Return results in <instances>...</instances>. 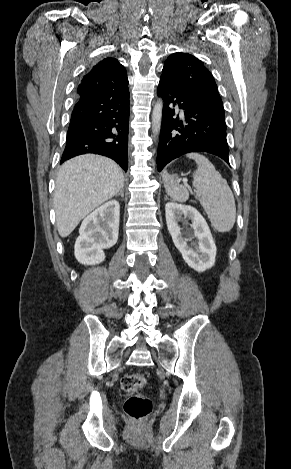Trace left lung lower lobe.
<instances>
[{"mask_svg":"<svg viewBox=\"0 0 291 469\" xmlns=\"http://www.w3.org/2000/svg\"><path fill=\"white\" fill-rule=\"evenodd\" d=\"M158 96L164 101L157 154L160 172L173 159L191 152H208L229 164L224 109L160 78ZM182 109L184 121L173 118ZM184 124V126H183Z\"/></svg>","mask_w":291,"mask_h":469,"instance_id":"left-lung-lower-lobe-1","label":"left lung lower lobe"}]
</instances>
